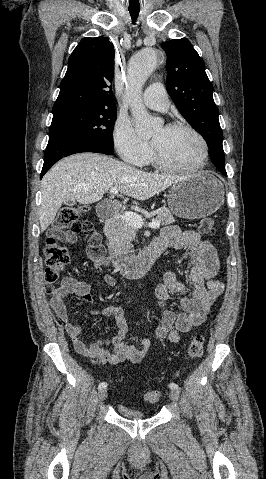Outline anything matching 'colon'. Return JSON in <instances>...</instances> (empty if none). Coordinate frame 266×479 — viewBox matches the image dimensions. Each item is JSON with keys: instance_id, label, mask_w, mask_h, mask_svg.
Returning a JSON list of instances; mask_svg holds the SVG:
<instances>
[{"instance_id": "obj_1", "label": "colon", "mask_w": 266, "mask_h": 479, "mask_svg": "<svg viewBox=\"0 0 266 479\" xmlns=\"http://www.w3.org/2000/svg\"><path fill=\"white\" fill-rule=\"evenodd\" d=\"M85 207L67 206L60 210L55 227L46 238L44 246L45 257V284L48 292L56 288L60 273L69 262L67 250L61 246L57 239L58 234L67 232L72 235H83L89 239L93 245L100 246V236L97 233L93 223L89 220H80V215L85 212ZM200 233L213 236L216 232L214 222L211 218H204L199 225ZM204 350V337L202 335L194 336L187 348L186 356L188 359H196L202 356ZM160 394L157 391H148L144 395L146 402L155 404L158 402Z\"/></svg>"}]
</instances>
